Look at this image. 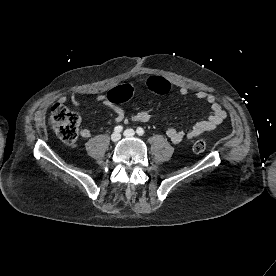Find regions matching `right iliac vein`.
Listing matches in <instances>:
<instances>
[{"label": "right iliac vein", "instance_id": "obj_1", "mask_svg": "<svg viewBox=\"0 0 276 276\" xmlns=\"http://www.w3.org/2000/svg\"><path fill=\"white\" fill-rule=\"evenodd\" d=\"M120 138H121V135H120L119 133H117V132H114V133L111 135V140H112L113 142L119 141Z\"/></svg>", "mask_w": 276, "mask_h": 276}]
</instances>
